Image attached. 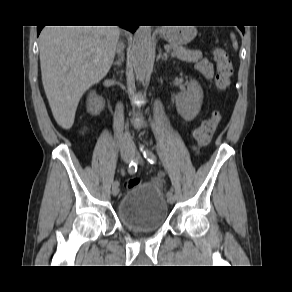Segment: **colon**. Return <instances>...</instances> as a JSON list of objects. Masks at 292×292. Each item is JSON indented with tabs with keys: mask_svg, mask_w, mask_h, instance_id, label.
Masks as SVG:
<instances>
[{
	"mask_svg": "<svg viewBox=\"0 0 292 292\" xmlns=\"http://www.w3.org/2000/svg\"><path fill=\"white\" fill-rule=\"evenodd\" d=\"M213 59L217 63V74L215 84L218 90L225 91L230 86V76L232 74V65L227 52L220 47H216L212 51ZM222 120V114L219 111H214L210 118L203 121L202 124L195 130L194 138L196 141L195 150L208 145ZM140 184L138 178H130L126 181L125 186L132 188Z\"/></svg>",
	"mask_w": 292,
	"mask_h": 292,
	"instance_id": "colon-1",
	"label": "colon"
}]
</instances>
